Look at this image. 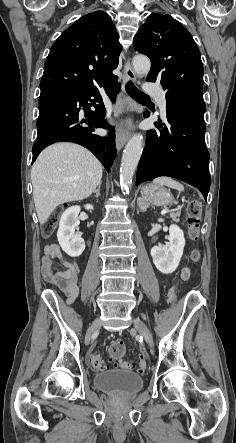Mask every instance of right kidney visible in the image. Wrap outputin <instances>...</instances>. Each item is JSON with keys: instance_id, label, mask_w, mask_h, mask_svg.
Returning <instances> with one entry per match:
<instances>
[{"instance_id": "obj_1", "label": "right kidney", "mask_w": 236, "mask_h": 443, "mask_svg": "<svg viewBox=\"0 0 236 443\" xmlns=\"http://www.w3.org/2000/svg\"><path fill=\"white\" fill-rule=\"evenodd\" d=\"M85 209L93 210V206L87 204ZM80 210V206H72L65 210L57 232V239L62 250L71 257H79L85 250L84 240L75 234V228L80 224L78 219Z\"/></svg>"}]
</instances>
